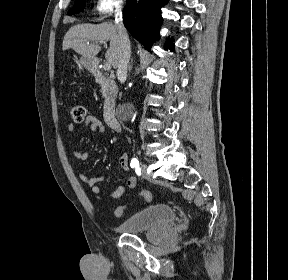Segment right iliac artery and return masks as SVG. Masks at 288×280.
I'll return each instance as SVG.
<instances>
[{"label": "right iliac artery", "instance_id": "82829eb1", "mask_svg": "<svg viewBox=\"0 0 288 280\" xmlns=\"http://www.w3.org/2000/svg\"><path fill=\"white\" fill-rule=\"evenodd\" d=\"M136 164H139V161L136 158H133L130 163L131 168H136Z\"/></svg>", "mask_w": 288, "mask_h": 280}]
</instances>
